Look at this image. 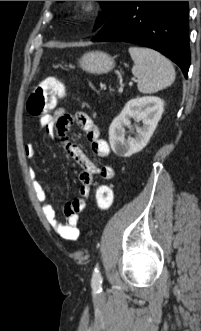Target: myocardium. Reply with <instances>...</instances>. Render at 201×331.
<instances>
[{
	"instance_id": "obj_1",
	"label": "myocardium",
	"mask_w": 201,
	"mask_h": 331,
	"mask_svg": "<svg viewBox=\"0 0 201 331\" xmlns=\"http://www.w3.org/2000/svg\"><path fill=\"white\" fill-rule=\"evenodd\" d=\"M80 7L86 13H91L95 9L92 1H82Z\"/></svg>"
}]
</instances>
